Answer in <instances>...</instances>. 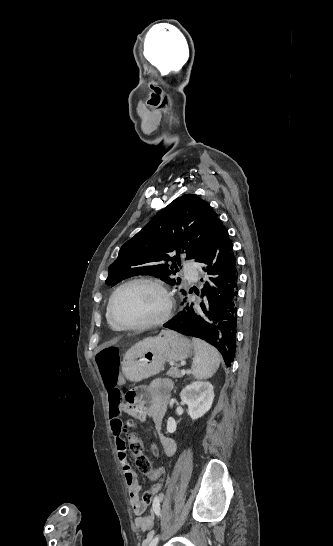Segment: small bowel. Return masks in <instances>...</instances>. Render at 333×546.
<instances>
[{"mask_svg":"<svg viewBox=\"0 0 333 546\" xmlns=\"http://www.w3.org/2000/svg\"><path fill=\"white\" fill-rule=\"evenodd\" d=\"M127 371L117 377V386L124 387L126 385ZM173 390V382L170 379H155L147 386H141L137 389V398L141 404L139 407L130 409V412L135 417L144 420L146 417H150L158 430H161L163 418L167 405L170 400V396ZM110 401V428L112 435L115 439V445L117 449L118 459L121 467L124 471L125 481L129 490V496L131 505L135 514L134 525L137 529L143 531H149L153 528L156 517L160 514V503L162 501V495L155 499L148 514H144L146 505L140 500L139 492L141 490V484L137 478V475L130 465L126 444L123 439L124 422L121 419V413L124 406L119 402L112 403ZM160 441L163 452L167 456H172L176 452V443L169 436L161 433ZM151 481L158 480L157 475L148 476ZM149 536H152L150 531Z\"/></svg>","mask_w":333,"mask_h":546,"instance_id":"c3829d8e","label":"small bowel"}]
</instances>
